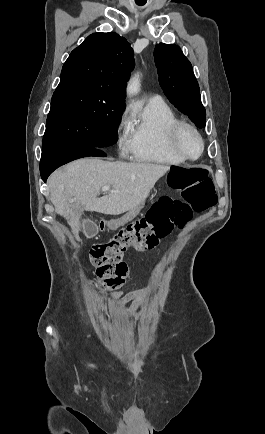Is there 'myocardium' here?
I'll list each match as a JSON object with an SVG mask.
<instances>
[{
    "label": "myocardium",
    "mask_w": 265,
    "mask_h": 434,
    "mask_svg": "<svg viewBox=\"0 0 265 434\" xmlns=\"http://www.w3.org/2000/svg\"><path fill=\"white\" fill-rule=\"evenodd\" d=\"M186 132H191L192 134H194L200 143L201 150H200L199 155L196 157H193V158L188 157L182 151L180 140H181V137ZM170 141H171L174 152L184 162L198 161L204 155V152L206 149V141L203 138V136L201 135V133L198 131V129L195 126H193L192 124L184 122V121H178L176 123V125L174 126V129H173V133L170 136Z\"/></svg>",
    "instance_id": "f54148a6"
}]
</instances>
